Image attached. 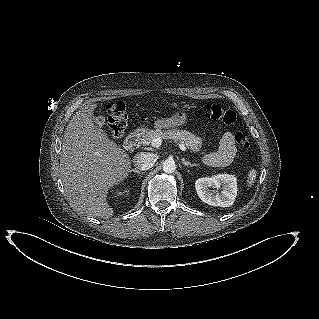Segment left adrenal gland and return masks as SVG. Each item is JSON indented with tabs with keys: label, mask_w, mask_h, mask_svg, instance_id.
<instances>
[{
	"label": "left adrenal gland",
	"mask_w": 319,
	"mask_h": 319,
	"mask_svg": "<svg viewBox=\"0 0 319 319\" xmlns=\"http://www.w3.org/2000/svg\"><path fill=\"white\" fill-rule=\"evenodd\" d=\"M182 160V163H183V165L185 166V167H188V166H190V167H193V166H199L198 164H196V163H191V162H189V161H185V159L183 158V159H181Z\"/></svg>",
	"instance_id": "obj_1"
}]
</instances>
